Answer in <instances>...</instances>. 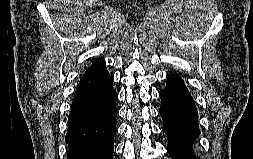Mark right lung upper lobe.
<instances>
[{"instance_id":"right-lung-upper-lobe-1","label":"right lung upper lobe","mask_w":253,"mask_h":159,"mask_svg":"<svg viewBox=\"0 0 253 159\" xmlns=\"http://www.w3.org/2000/svg\"><path fill=\"white\" fill-rule=\"evenodd\" d=\"M105 65V62L102 60H96L87 70L84 74L89 73L91 71H94L102 66Z\"/></svg>"}]
</instances>
